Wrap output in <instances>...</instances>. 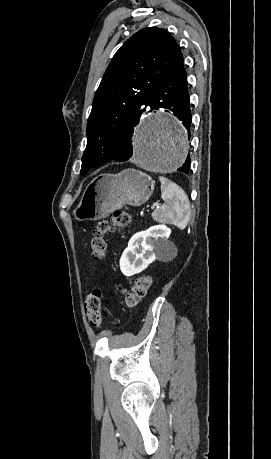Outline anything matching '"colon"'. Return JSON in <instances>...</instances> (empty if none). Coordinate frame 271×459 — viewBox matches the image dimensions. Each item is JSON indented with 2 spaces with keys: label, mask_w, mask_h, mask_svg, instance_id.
Listing matches in <instances>:
<instances>
[{
  "label": "colon",
  "mask_w": 271,
  "mask_h": 459,
  "mask_svg": "<svg viewBox=\"0 0 271 459\" xmlns=\"http://www.w3.org/2000/svg\"><path fill=\"white\" fill-rule=\"evenodd\" d=\"M131 222V217L126 211H116L100 219L93 231L90 241L91 255L94 259H101L107 250L106 235L117 228H122ZM151 279L147 275L137 277L130 290L121 289L126 306L133 308L147 293ZM102 292L99 289L91 290L85 300V312L91 325L99 326L102 321L101 308Z\"/></svg>",
  "instance_id": "5ec220e1"
}]
</instances>
